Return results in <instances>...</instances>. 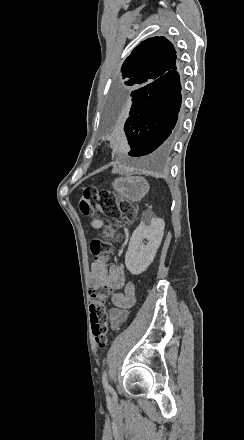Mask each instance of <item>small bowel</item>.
Segmentation results:
<instances>
[{
    "label": "small bowel",
    "mask_w": 244,
    "mask_h": 440,
    "mask_svg": "<svg viewBox=\"0 0 244 440\" xmlns=\"http://www.w3.org/2000/svg\"><path fill=\"white\" fill-rule=\"evenodd\" d=\"M102 226L103 223L99 219L91 222L93 229H100ZM112 254V251H108L94 260L89 277L93 287L106 286L111 290H124L123 293L117 292L112 295L113 308L109 311V325L110 329L115 331L127 320L129 310L136 304L137 297L135 286L126 281L123 270L116 265H107V260Z\"/></svg>",
    "instance_id": "small-bowel-1"
}]
</instances>
